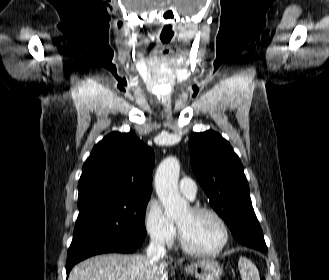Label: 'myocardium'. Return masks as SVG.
I'll return each mask as SVG.
<instances>
[{
	"label": "myocardium",
	"instance_id": "1",
	"mask_svg": "<svg viewBox=\"0 0 329 280\" xmlns=\"http://www.w3.org/2000/svg\"><path fill=\"white\" fill-rule=\"evenodd\" d=\"M191 212L193 214H207L213 217L222 230V240L220 244L212 250H198L193 247H191L185 240L182 231L180 227L178 226V235H179V242L182 250L186 252L189 255L197 256V257H214L220 254L228 245L230 240V231L229 227L225 221V219L222 217V215L217 212L215 209L206 207V206H200L195 205L190 208Z\"/></svg>",
	"mask_w": 329,
	"mask_h": 280
}]
</instances>
